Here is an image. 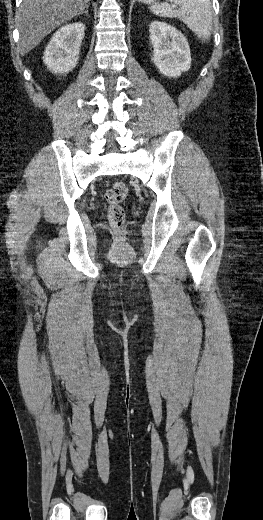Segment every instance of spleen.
<instances>
[{
	"instance_id": "3e777b00",
	"label": "spleen",
	"mask_w": 263,
	"mask_h": 520,
	"mask_svg": "<svg viewBox=\"0 0 263 520\" xmlns=\"http://www.w3.org/2000/svg\"><path fill=\"white\" fill-rule=\"evenodd\" d=\"M179 6L150 4V11L160 17L179 18L202 41H208L212 32V5L210 0H168Z\"/></svg>"
}]
</instances>
